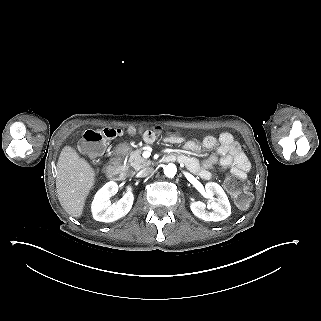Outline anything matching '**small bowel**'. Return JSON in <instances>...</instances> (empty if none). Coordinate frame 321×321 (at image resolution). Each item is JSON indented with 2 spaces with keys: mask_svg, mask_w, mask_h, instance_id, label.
<instances>
[{
  "mask_svg": "<svg viewBox=\"0 0 321 321\" xmlns=\"http://www.w3.org/2000/svg\"><path fill=\"white\" fill-rule=\"evenodd\" d=\"M156 136L152 131H145L143 139L147 143H152ZM170 143H182L183 138L172 136L167 138ZM184 149L193 154H199L203 149H215V154L209 156L203 161L194 157L180 155L183 163L192 173L204 180H210L213 177L211 169L216 164L231 169L233 175H246L250 170V162L242 151L240 145L234 140L230 133L224 132L220 136H206L202 142L188 140L184 142Z\"/></svg>",
  "mask_w": 321,
  "mask_h": 321,
  "instance_id": "small-bowel-1",
  "label": "small bowel"
}]
</instances>
